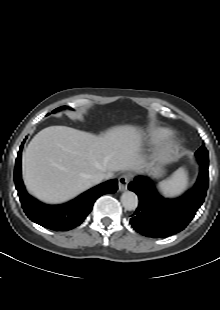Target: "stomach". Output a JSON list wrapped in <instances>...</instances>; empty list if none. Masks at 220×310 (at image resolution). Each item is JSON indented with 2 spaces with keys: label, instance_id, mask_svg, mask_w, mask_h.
I'll return each instance as SVG.
<instances>
[{
  "label": "stomach",
  "instance_id": "stomach-1",
  "mask_svg": "<svg viewBox=\"0 0 220 310\" xmlns=\"http://www.w3.org/2000/svg\"><path fill=\"white\" fill-rule=\"evenodd\" d=\"M153 174L156 175V176H159L162 174V170L160 168H156L154 171H153Z\"/></svg>",
  "mask_w": 220,
  "mask_h": 310
}]
</instances>
